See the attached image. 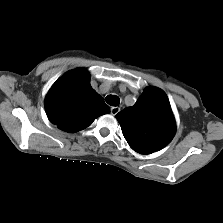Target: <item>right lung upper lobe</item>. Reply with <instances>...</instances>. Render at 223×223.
I'll list each match as a JSON object with an SVG mask.
<instances>
[{
    "mask_svg": "<svg viewBox=\"0 0 223 223\" xmlns=\"http://www.w3.org/2000/svg\"><path fill=\"white\" fill-rule=\"evenodd\" d=\"M89 80L85 69H75L59 78L49 90L45 99L46 113L61 130L77 132L97 117L110 112Z\"/></svg>",
    "mask_w": 223,
    "mask_h": 223,
    "instance_id": "right-lung-upper-lobe-1",
    "label": "right lung upper lobe"
}]
</instances>
